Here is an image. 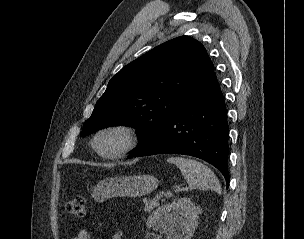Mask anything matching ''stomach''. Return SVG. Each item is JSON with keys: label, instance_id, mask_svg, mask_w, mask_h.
I'll use <instances>...</instances> for the list:
<instances>
[{"label": "stomach", "instance_id": "1", "mask_svg": "<svg viewBox=\"0 0 304 239\" xmlns=\"http://www.w3.org/2000/svg\"><path fill=\"white\" fill-rule=\"evenodd\" d=\"M158 183L156 177L148 174L111 177L94 187L92 197L97 202L117 196L139 197L151 193Z\"/></svg>", "mask_w": 304, "mask_h": 239}]
</instances>
